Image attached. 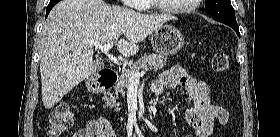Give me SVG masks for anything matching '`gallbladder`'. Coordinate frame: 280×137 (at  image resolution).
<instances>
[{
  "instance_id": "gallbladder-1",
  "label": "gallbladder",
  "mask_w": 280,
  "mask_h": 137,
  "mask_svg": "<svg viewBox=\"0 0 280 137\" xmlns=\"http://www.w3.org/2000/svg\"><path fill=\"white\" fill-rule=\"evenodd\" d=\"M93 66H94V70L97 72V71H100L101 69H103L104 64L102 61L97 59L94 61Z\"/></svg>"
}]
</instances>
